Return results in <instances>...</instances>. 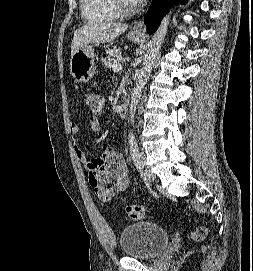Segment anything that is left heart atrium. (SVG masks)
<instances>
[{
	"mask_svg": "<svg viewBox=\"0 0 253 271\" xmlns=\"http://www.w3.org/2000/svg\"><path fill=\"white\" fill-rule=\"evenodd\" d=\"M145 0H133V2L136 4V5H140L144 2Z\"/></svg>",
	"mask_w": 253,
	"mask_h": 271,
	"instance_id": "39dd6f15",
	"label": "left heart atrium"
}]
</instances>
